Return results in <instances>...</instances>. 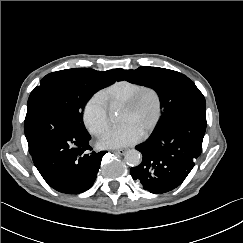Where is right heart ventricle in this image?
<instances>
[{"label": "right heart ventricle", "instance_id": "obj_1", "mask_svg": "<svg viewBox=\"0 0 243 243\" xmlns=\"http://www.w3.org/2000/svg\"><path fill=\"white\" fill-rule=\"evenodd\" d=\"M143 85L129 80H119L102 91V96L109 105H124Z\"/></svg>", "mask_w": 243, "mask_h": 243}]
</instances>
